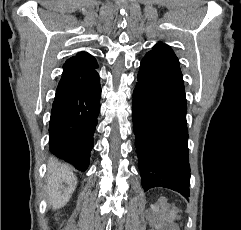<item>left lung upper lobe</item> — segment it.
<instances>
[{"mask_svg": "<svg viewBox=\"0 0 241 230\" xmlns=\"http://www.w3.org/2000/svg\"><path fill=\"white\" fill-rule=\"evenodd\" d=\"M148 53L162 56L165 59L179 64L178 58L174 54L173 50L166 44L158 43Z\"/></svg>", "mask_w": 241, "mask_h": 230, "instance_id": "obj_1", "label": "left lung upper lobe"}]
</instances>
